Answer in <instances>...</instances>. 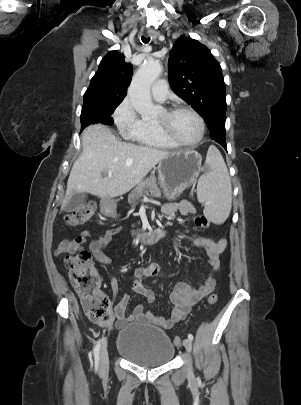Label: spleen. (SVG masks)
Returning <instances> with one entry per match:
<instances>
[{
    "instance_id": "spleen-1",
    "label": "spleen",
    "mask_w": 301,
    "mask_h": 405,
    "mask_svg": "<svg viewBox=\"0 0 301 405\" xmlns=\"http://www.w3.org/2000/svg\"><path fill=\"white\" fill-rule=\"evenodd\" d=\"M209 171L199 179L197 192L205 203V215L214 223L222 224L228 218L232 205V187L224 159L215 146L207 152Z\"/></svg>"
}]
</instances>
